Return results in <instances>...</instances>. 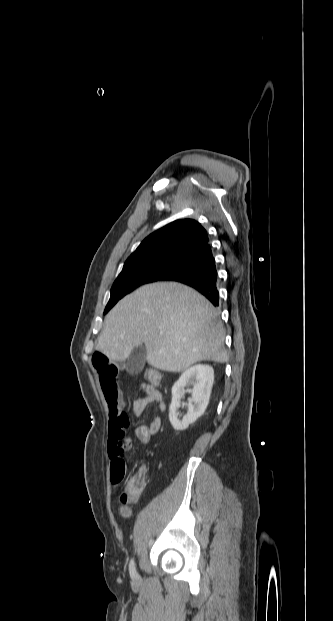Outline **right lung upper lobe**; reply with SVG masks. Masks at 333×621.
I'll list each match as a JSON object with an SVG mask.
<instances>
[{
    "instance_id": "right-lung-upper-lobe-1",
    "label": "right lung upper lobe",
    "mask_w": 333,
    "mask_h": 621,
    "mask_svg": "<svg viewBox=\"0 0 333 621\" xmlns=\"http://www.w3.org/2000/svg\"><path fill=\"white\" fill-rule=\"evenodd\" d=\"M209 243L207 231L193 219H180L146 237L125 263L166 257L186 259Z\"/></svg>"
}]
</instances>
